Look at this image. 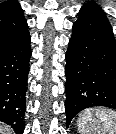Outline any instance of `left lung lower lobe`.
<instances>
[{"instance_id":"left-lung-lower-lobe-1","label":"left lung lower lobe","mask_w":116,"mask_h":134,"mask_svg":"<svg viewBox=\"0 0 116 134\" xmlns=\"http://www.w3.org/2000/svg\"><path fill=\"white\" fill-rule=\"evenodd\" d=\"M66 127L85 108L116 109V40L103 10L90 2L72 27L66 53Z\"/></svg>"}]
</instances>
